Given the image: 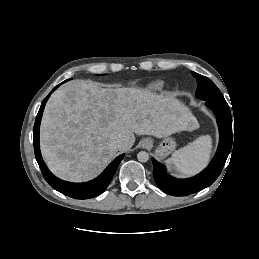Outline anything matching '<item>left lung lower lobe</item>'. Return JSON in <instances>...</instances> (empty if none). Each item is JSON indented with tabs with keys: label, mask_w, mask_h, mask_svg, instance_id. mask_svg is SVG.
<instances>
[{
	"label": "left lung lower lobe",
	"mask_w": 259,
	"mask_h": 259,
	"mask_svg": "<svg viewBox=\"0 0 259 259\" xmlns=\"http://www.w3.org/2000/svg\"><path fill=\"white\" fill-rule=\"evenodd\" d=\"M215 113L219 127L220 141L217 152L208 165L198 175L188 179H176L166 173L164 165L152 158L153 176L158 187L173 196H186L210 186L220 175L232 146V118L225 100H205Z\"/></svg>",
	"instance_id": "1"
}]
</instances>
